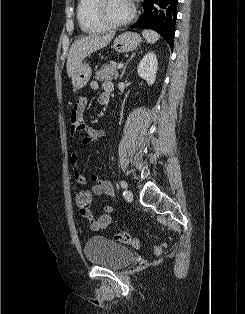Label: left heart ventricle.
Instances as JSON below:
<instances>
[{
  "mask_svg": "<svg viewBox=\"0 0 245 314\" xmlns=\"http://www.w3.org/2000/svg\"><path fill=\"white\" fill-rule=\"evenodd\" d=\"M132 12V3L129 0H106L104 13L112 22H120L127 19Z\"/></svg>",
  "mask_w": 245,
  "mask_h": 314,
  "instance_id": "b2bd125f",
  "label": "left heart ventricle"
}]
</instances>
